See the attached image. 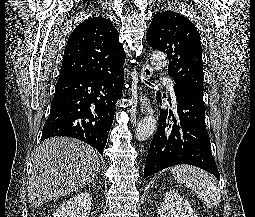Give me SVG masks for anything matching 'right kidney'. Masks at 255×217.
<instances>
[{
  "instance_id": "1",
  "label": "right kidney",
  "mask_w": 255,
  "mask_h": 217,
  "mask_svg": "<svg viewBox=\"0 0 255 217\" xmlns=\"http://www.w3.org/2000/svg\"><path fill=\"white\" fill-rule=\"evenodd\" d=\"M92 196L88 192H79L65 200L53 217H91Z\"/></svg>"
}]
</instances>
